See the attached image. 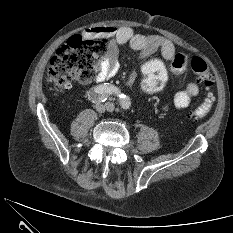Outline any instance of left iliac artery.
<instances>
[{
	"instance_id": "44dca946",
	"label": "left iliac artery",
	"mask_w": 233,
	"mask_h": 233,
	"mask_svg": "<svg viewBox=\"0 0 233 233\" xmlns=\"http://www.w3.org/2000/svg\"><path fill=\"white\" fill-rule=\"evenodd\" d=\"M119 103L123 109H128L131 105L129 98L124 94H119Z\"/></svg>"
}]
</instances>
